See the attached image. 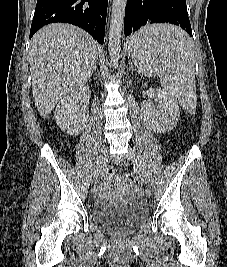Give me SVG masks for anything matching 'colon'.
I'll return each instance as SVG.
<instances>
[{
    "label": "colon",
    "mask_w": 227,
    "mask_h": 267,
    "mask_svg": "<svg viewBox=\"0 0 227 267\" xmlns=\"http://www.w3.org/2000/svg\"><path fill=\"white\" fill-rule=\"evenodd\" d=\"M189 117H194V114H189ZM186 124H191V121H186ZM114 175L113 170H108L107 171V176L108 177H112ZM123 183L127 186H129L132 189H135L137 186L136 183V179L131 176V175H127L124 179H123Z\"/></svg>",
    "instance_id": "colon-1"
}]
</instances>
